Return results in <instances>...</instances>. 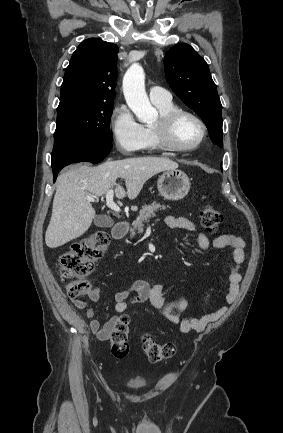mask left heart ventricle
I'll list each match as a JSON object with an SVG mask.
<instances>
[{
  "label": "left heart ventricle",
  "instance_id": "obj_1",
  "mask_svg": "<svg viewBox=\"0 0 283 433\" xmlns=\"http://www.w3.org/2000/svg\"><path fill=\"white\" fill-rule=\"evenodd\" d=\"M201 135L198 123L189 116L179 119L175 128V140L181 146L194 143Z\"/></svg>",
  "mask_w": 283,
  "mask_h": 433
}]
</instances>
